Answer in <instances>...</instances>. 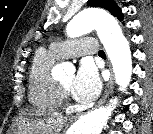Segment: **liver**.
<instances>
[{
  "instance_id": "liver-1",
  "label": "liver",
  "mask_w": 153,
  "mask_h": 134,
  "mask_svg": "<svg viewBox=\"0 0 153 134\" xmlns=\"http://www.w3.org/2000/svg\"><path fill=\"white\" fill-rule=\"evenodd\" d=\"M65 121L66 118L57 112L27 110L20 116L18 134H56Z\"/></svg>"
}]
</instances>
